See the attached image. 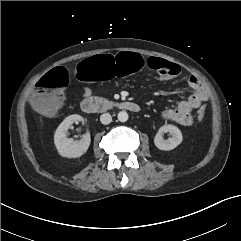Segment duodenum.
Instances as JSON below:
<instances>
[{"label":"duodenum","instance_id":"1","mask_svg":"<svg viewBox=\"0 0 241 241\" xmlns=\"http://www.w3.org/2000/svg\"><path fill=\"white\" fill-rule=\"evenodd\" d=\"M81 109L87 114L103 113L113 109H123L138 112V104L130 101L110 102L97 97H88L81 102Z\"/></svg>","mask_w":241,"mask_h":241}]
</instances>
